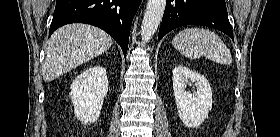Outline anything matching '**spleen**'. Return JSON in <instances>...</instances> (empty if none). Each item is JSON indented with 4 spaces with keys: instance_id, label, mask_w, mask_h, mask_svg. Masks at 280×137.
Masks as SVG:
<instances>
[{
    "instance_id": "1",
    "label": "spleen",
    "mask_w": 280,
    "mask_h": 137,
    "mask_svg": "<svg viewBox=\"0 0 280 137\" xmlns=\"http://www.w3.org/2000/svg\"><path fill=\"white\" fill-rule=\"evenodd\" d=\"M172 45L183 56L197 59L204 56L223 65L232 63V55L221 38L209 29L191 27L180 31Z\"/></svg>"
}]
</instances>
